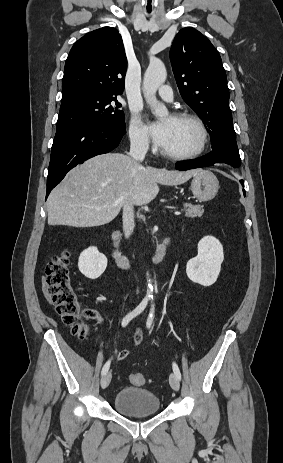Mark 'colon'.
Returning <instances> with one entry per match:
<instances>
[{"label":"colon","mask_w":283,"mask_h":463,"mask_svg":"<svg viewBox=\"0 0 283 463\" xmlns=\"http://www.w3.org/2000/svg\"><path fill=\"white\" fill-rule=\"evenodd\" d=\"M47 292L62 321L71 326L72 333L85 339L90 328L84 319H96L98 314L92 309L82 310L76 290L71 282L70 253L63 250L56 254L46 266ZM129 380L133 385L142 386L147 379L142 373L132 372Z\"/></svg>","instance_id":"colon-1"}]
</instances>
